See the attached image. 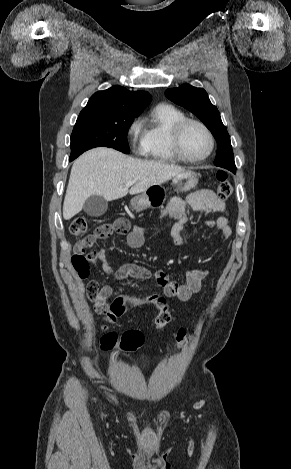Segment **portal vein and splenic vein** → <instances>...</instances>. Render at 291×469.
Instances as JSON below:
<instances>
[{
  "instance_id": "18ae733b",
  "label": "portal vein and splenic vein",
  "mask_w": 291,
  "mask_h": 469,
  "mask_svg": "<svg viewBox=\"0 0 291 469\" xmlns=\"http://www.w3.org/2000/svg\"><path fill=\"white\" fill-rule=\"evenodd\" d=\"M134 183H135V181H129V182L126 183V187H129V186L133 185Z\"/></svg>"
}]
</instances>
